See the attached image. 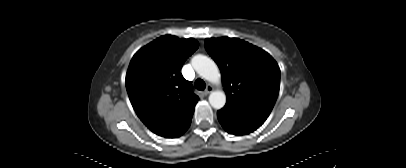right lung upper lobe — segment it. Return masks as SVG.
<instances>
[{
    "mask_svg": "<svg viewBox=\"0 0 406 168\" xmlns=\"http://www.w3.org/2000/svg\"><path fill=\"white\" fill-rule=\"evenodd\" d=\"M199 47L193 39L164 35L133 56L126 75L131 104L154 133L170 138L192 116L199 100L180 69Z\"/></svg>",
    "mask_w": 406,
    "mask_h": 168,
    "instance_id": "1",
    "label": "right lung upper lobe"
}]
</instances>
